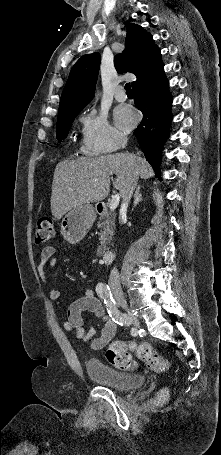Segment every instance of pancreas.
<instances>
[{"label":"pancreas","instance_id":"pancreas-1","mask_svg":"<svg viewBox=\"0 0 221 455\" xmlns=\"http://www.w3.org/2000/svg\"><path fill=\"white\" fill-rule=\"evenodd\" d=\"M99 220L98 227L103 228L104 230L100 233V246L97 248V255H102L106 251L107 245L112 240L115 229V218L110 214H107V216H101Z\"/></svg>","mask_w":221,"mask_h":455}]
</instances>
